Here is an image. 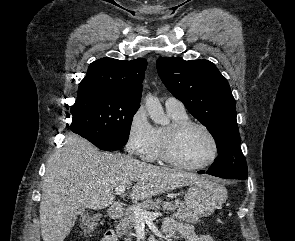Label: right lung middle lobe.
<instances>
[{"mask_svg":"<svg viewBox=\"0 0 295 241\" xmlns=\"http://www.w3.org/2000/svg\"><path fill=\"white\" fill-rule=\"evenodd\" d=\"M139 106V103L103 91H93L77 99L72 106L69 128L101 150L120 149L128 141L132 119Z\"/></svg>","mask_w":295,"mask_h":241,"instance_id":"right-lung-middle-lobe-1","label":"right lung middle lobe"}]
</instances>
